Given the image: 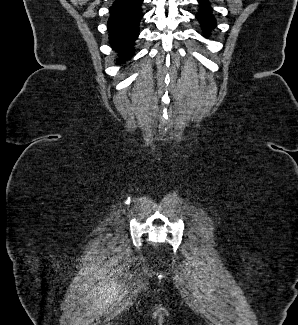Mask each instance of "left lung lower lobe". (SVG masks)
Masks as SVG:
<instances>
[{"instance_id": "1", "label": "left lung lower lobe", "mask_w": 298, "mask_h": 325, "mask_svg": "<svg viewBox=\"0 0 298 325\" xmlns=\"http://www.w3.org/2000/svg\"><path fill=\"white\" fill-rule=\"evenodd\" d=\"M199 11L196 13V17L201 24L203 33L208 37L209 32L215 28L216 20L212 15V8L208 0H198Z\"/></svg>"}]
</instances>
